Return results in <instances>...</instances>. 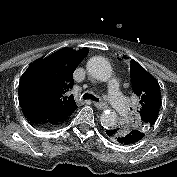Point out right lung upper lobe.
<instances>
[{"instance_id":"right-lung-upper-lobe-1","label":"right lung upper lobe","mask_w":177,"mask_h":177,"mask_svg":"<svg viewBox=\"0 0 177 177\" xmlns=\"http://www.w3.org/2000/svg\"><path fill=\"white\" fill-rule=\"evenodd\" d=\"M88 54L60 49L28 67L19 83V100L24 112H34L65 121L77 109L73 96V72Z\"/></svg>"}]
</instances>
